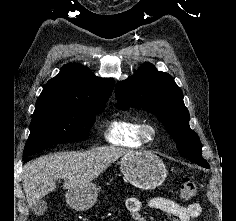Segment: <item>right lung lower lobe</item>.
<instances>
[{
	"mask_svg": "<svg viewBox=\"0 0 236 221\" xmlns=\"http://www.w3.org/2000/svg\"><path fill=\"white\" fill-rule=\"evenodd\" d=\"M30 159H31L30 156H29V157H26V158H23V160H24L25 162L29 161Z\"/></svg>",
	"mask_w": 236,
	"mask_h": 221,
	"instance_id": "right-lung-lower-lobe-1",
	"label": "right lung lower lobe"
}]
</instances>
